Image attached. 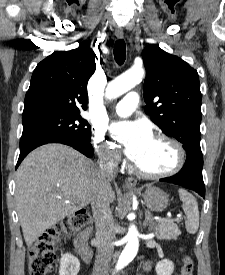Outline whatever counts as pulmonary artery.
I'll return each mask as SVG.
<instances>
[{
    "mask_svg": "<svg viewBox=\"0 0 225 275\" xmlns=\"http://www.w3.org/2000/svg\"><path fill=\"white\" fill-rule=\"evenodd\" d=\"M139 105V95L135 91L128 92L125 97L114 107V112L119 116L130 115Z\"/></svg>",
    "mask_w": 225,
    "mask_h": 275,
    "instance_id": "obj_1",
    "label": "pulmonary artery"
}]
</instances>
